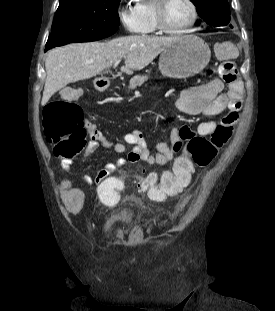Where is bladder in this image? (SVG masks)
<instances>
[{"mask_svg": "<svg viewBox=\"0 0 275 311\" xmlns=\"http://www.w3.org/2000/svg\"><path fill=\"white\" fill-rule=\"evenodd\" d=\"M135 218L136 215L132 208L119 209L109 214L105 221L104 229L106 231H111L121 226H129L133 223Z\"/></svg>", "mask_w": 275, "mask_h": 311, "instance_id": "obj_1", "label": "bladder"}]
</instances>
